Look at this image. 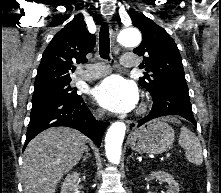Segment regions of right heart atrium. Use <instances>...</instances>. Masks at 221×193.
I'll list each match as a JSON object with an SVG mask.
<instances>
[{
    "label": "right heart atrium",
    "instance_id": "d8ad5b80",
    "mask_svg": "<svg viewBox=\"0 0 221 193\" xmlns=\"http://www.w3.org/2000/svg\"><path fill=\"white\" fill-rule=\"evenodd\" d=\"M97 115H100L101 113L99 111L96 112Z\"/></svg>",
    "mask_w": 221,
    "mask_h": 193
}]
</instances>
